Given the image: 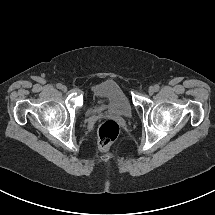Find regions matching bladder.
<instances>
[{
  "label": "bladder",
  "instance_id": "obj_1",
  "mask_svg": "<svg viewBox=\"0 0 215 215\" xmlns=\"http://www.w3.org/2000/svg\"><path fill=\"white\" fill-rule=\"evenodd\" d=\"M99 100L106 101V110L128 118L133 113L131 101L123 88L114 80L108 79L97 83L91 90L90 113H95V104Z\"/></svg>",
  "mask_w": 215,
  "mask_h": 215
}]
</instances>
